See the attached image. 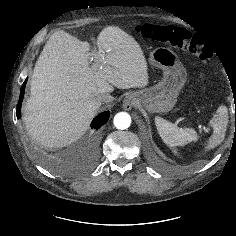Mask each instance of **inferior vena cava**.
Returning a JSON list of instances; mask_svg holds the SVG:
<instances>
[{
    "mask_svg": "<svg viewBox=\"0 0 236 236\" xmlns=\"http://www.w3.org/2000/svg\"><path fill=\"white\" fill-rule=\"evenodd\" d=\"M100 100L102 102H111L114 100V97L111 96L109 93H104L100 96Z\"/></svg>",
    "mask_w": 236,
    "mask_h": 236,
    "instance_id": "602c4592",
    "label": "inferior vena cava"
}]
</instances>
